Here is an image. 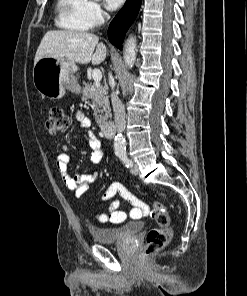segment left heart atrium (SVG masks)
Instances as JSON below:
<instances>
[{"label": "left heart atrium", "instance_id": "left-heart-atrium-1", "mask_svg": "<svg viewBox=\"0 0 247 296\" xmlns=\"http://www.w3.org/2000/svg\"><path fill=\"white\" fill-rule=\"evenodd\" d=\"M123 1L124 0H105L107 8L110 10L118 8L123 3Z\"/></svg>", "mask_w": 247, "mask_h": 296}]
</instances>
